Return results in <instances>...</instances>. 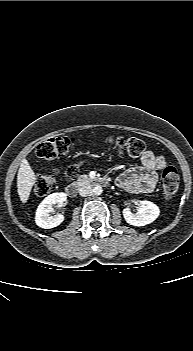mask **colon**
Wrapping results in <instances>:
<instances>
[{
  "label": "colon",
  "mask_w": 193,
  "mask_h": 351,
  "mask_svg": "<svg viewBox=\"0 0 193 351\" xmlns=\"http://www.w3.org/2000/svg\"><path fill=\"white\" fill-rule=\"evenodd\" d=\"M107 146L119 153L127 154L131 157H139L145 151V143L135 137L108 136L105 139ZM75 143L74 138L68 136H55L42 141L36 147V155L40 159L52 160L57 157L67 155ZM77 166H71L66 171V178L73 180L78 175ZM180 176L177 169L168 166L162 174V194L166 200H171L179 188ZM54 178L51 175H40L34 184V194L36 196L47 195L54 187Z\"/></svg>",
  "instance_id": "5ec220e1"
}]
</instances>
